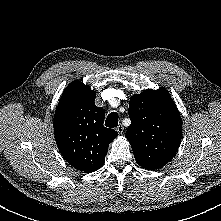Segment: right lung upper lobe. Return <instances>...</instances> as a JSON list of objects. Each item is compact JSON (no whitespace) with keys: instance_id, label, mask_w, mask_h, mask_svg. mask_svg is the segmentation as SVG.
Instances as JSON below:
<instances>
[{"instance_id":"1","label":"right lung upper lobe","mask_w":221,"mask_h":221,"mask_svg":"<svg viewBox=\"0 0 221 221\" xmlns=\"http://www.w3.org/2000/svg\"><path fill=\"white\" fill-rule=\"evenodd\" d=\"M96 93L81 81L64 90L54 114L55 140L63 158L90 173L105 162L108 145L118 133L103 126L105 110L94 103Z\"/></svg>"}]
</instances>
